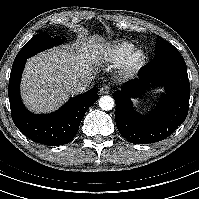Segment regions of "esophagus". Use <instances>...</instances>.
Returning a JSON list of instances; mask_svg holds the SVG:
<instances>
[{
	"instance_id": "1",
	"label": "esophagus",
	"mask_w": 199,
	"mask_h": 199,
	"mask_svg": "<svg viewBox=\"0 0 199 199\" xmlns=\"http://www.w3.org/2000/svg\"><path fill=\"white\" fill-rule=\"evenodd\" d=\"M110 86L109 85H104L100 88V94H108L110 92Z\"/></svg>"
}]
</instances>
